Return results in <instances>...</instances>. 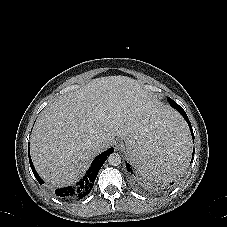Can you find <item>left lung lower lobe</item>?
I'll list each match as a JSON object with an SVG mask.
<instances>
[{"instance_id":"obj_1","label":"left lung lower lobe","mask_w":227,"mask_h":227,"mask_svg":"<svg viewBox=\"0 0 227 227\" xmlns=\"http://www.w3.org/2000/svg\"><path fill=\"white\" fill-rule=\"evenodd\" d=\"M168 102H169V104L173 107V108H175V109H177L180 113H181V115L184 117V119L186 120V122L188 123V126H189V128H190V131H191V134H192V138H193V141H194V133H193V129H192V126H191V123H190V121H189V119H188V117H187V115H186V113H185V111L182 109V107L181 106H179L177 103H175L171 98H168ZM175 141L174 140H172V142H170L167 146H166V148H165V150L167 149V150H169V149H172V148H174V143ZM166 150V151H167ZM194 152H195V148H193V154H194ZM131 162V164L135 167V168H137V166L135 165V163H133L132 161H130ZM126 167H127V170L131 173V179H132V182H133V184L137 187V188H139V189H143V190H145V191H159V190H162V188H164V187H162V188H157V187H151V186H148V185H146V184H144L138 177H136V175H135V173H134V168L129 164V163H126ZM137 171H138V168H137ZM174 183H171V185H173Z\"/></svg>"}]
</instances>
